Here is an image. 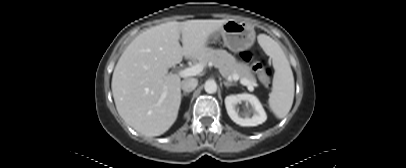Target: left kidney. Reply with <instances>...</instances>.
<instances>
[{"label": "left kidney", "instance_id": "5707ae66", "mask_svg": "<svg viewBox=\"0 0 406 168\" xmlns=\"http://www.w3.org/2000/svg\"><path fill=\"white\" fill-rule=\"evenodd\" d=\"M247 102L251 108H247L244 111H240L238 104ZM225 106L229 117L240 126H257L266 121V112L258 100V98L252 94L242 93L236 95H229L225 98ZM252 117H249L250 114Z\"/></svg>", "mask_w": 406, "mask_h": 168}]
</instances>
